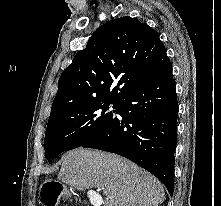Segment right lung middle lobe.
<instances>
[{
    "instance_id": "dd1d6c3e",
    "label": "right lung middle lobe",
    "mask_w": 221,
    "mask_h": 206,
    "mask_svg": "<svg viewBox=\"0 0 221 206\" xmlns=\"http://www.w3.org/2000/svg\"><path fill=\"white\" fill-rule=\"evenodd\" d=\"M110 103H92L58 111L49 117L45 158L51 163L60 153L82 146L113 120ZM117 109L118 104H113Z\"/></svg>"
}]
</instances>
